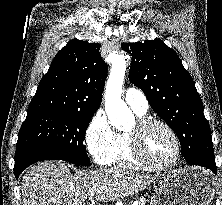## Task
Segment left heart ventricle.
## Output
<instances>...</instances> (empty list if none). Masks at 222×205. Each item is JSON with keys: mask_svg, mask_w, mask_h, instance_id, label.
Wrapping results in <instances>:
<instances>
[{"mask_svg": "<svg viewBox=\"0 0 222 205\" xmlns=\"http://www.w3.org/2000/svg\"><path fill=\"white\" fill-rule=\"evenodd\" d=\"M143 147L147 156L157 163L169 162L175 153L172 137L164 128L157 125L145 131Z\"/></svg>", "mask_w": 222, "mask_h": 205, "instance_id": "obj_1", "label": "left heart ventricle"}]
</instances>
